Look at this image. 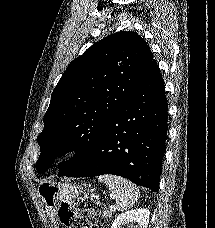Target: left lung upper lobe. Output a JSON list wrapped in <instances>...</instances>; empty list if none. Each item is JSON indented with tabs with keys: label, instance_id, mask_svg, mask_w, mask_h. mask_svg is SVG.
Listing matches in <instances>:
<instances>
[{
	"label": "left lung upper lobe",
	"instance_id": "obj_1",
	"mask_svg": "<svg viewBox=\"0 0 215 228\" xmlns=\"http://www.w3.org/2000/svg\"><path fill=\"white\" fill-rule=\"evenodd\" d=\"M153 63L147 43L135 32L110 34L73 60L55 87L37 142L36 163L45 172L58 156L75 150L59 164V175L72 170L94 146L104 127L134 92Z\"/></svg>",
	"mask_w": 215,
	"mask_h": 228
}]
</instances>
